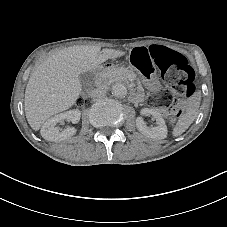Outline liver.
<instances>
[{"mask_svg":"<svg viewBox=\"0 0 227 227\" xmlns=\"http://www.w3.org/2000/svg\"><path fill=\"white\" fill-rule=\"evenodd\" d=\"M124 54L120 50L101 49L96 45H76L38 61L24 96L25 116L30 127L38 131L51 116L76 103L82 92L81 74L100 70L99 65Z\"/></svg>","mask_w":227,"mask_h":227,"instance_id":"6515ba94","label":"liver"}]
</instances>
